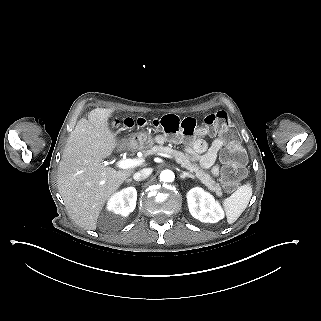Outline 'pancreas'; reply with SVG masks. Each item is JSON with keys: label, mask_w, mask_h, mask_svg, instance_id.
Returning a JSON list of instances; mask_svg holds the SVG:
<instances>
[{"label": "pancreas", "mask_w": 321, "mask_h": 321, "mask_svg": "<svg viewBox=\"0 0 321 321\" xmlns=\"http://www.w3.org/2000/svg\"><path fill=\"white\" fill-rule=\"evenodd\" d=\"M132 152H135V149L130 148ZM144 156L147 157L149 155L154 154H168L175 159V161L181 165V167L186 168L192 173H195V177H197L210 191L215 192L217 196H222V189L219 183L215 182L213 178L206 173L203 169L199 167L198 164L193 163L190 160V156L184 154L181 151L174 150L168 146L162 145H154L150 149H140Z\"/></svg>", "instance_id": "cf45deb5"}]
</instances>
